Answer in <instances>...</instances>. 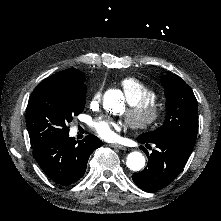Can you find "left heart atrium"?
<instances>
[{"mask_svg": "<svg viewBox=\"0 0 221 221\" xmlns=\"http://www.w3.org/2000/svg\"><path fill=\"white\" fill-rule=\"evenodd\" d=\"M118 127L119 125L117 122L105 118H99L92 124V129L98 137L111 142L119 140V136L117 134Z\"/></svg>", "mask_w": 221, "mask_h": 221, "instance_id": "1", "label": "left heart atrium"}]
</instances>
